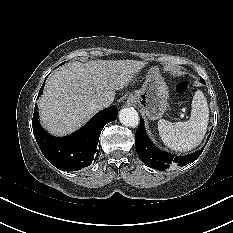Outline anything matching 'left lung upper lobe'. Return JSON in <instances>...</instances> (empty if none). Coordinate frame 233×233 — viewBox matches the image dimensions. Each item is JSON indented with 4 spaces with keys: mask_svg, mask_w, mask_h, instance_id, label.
<instances>
[{
    "mask_svg": "<svg viewBox=\"0 0 233 233\" xmlns=\"http://www.w3.org/2000/svg\"><path fill=\"white\" fill-rule=\"evenodd\" d=\"M200 81H201V83H205V81L203 80V78H200Z\"/></svg>",
    "mask_w": 233,
    "mask_h": 233,
    "instance_id": "5c2ea615",
    "label": "left lung upper lobe"
}]
</instances>
